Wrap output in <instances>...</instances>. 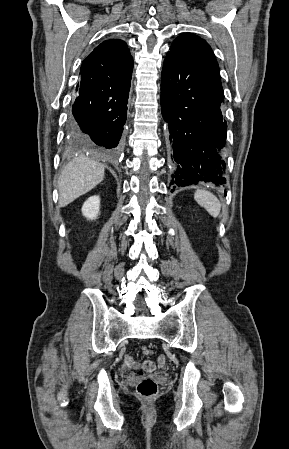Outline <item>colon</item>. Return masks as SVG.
<instances>
[{
	"label": "colon",
	"mask_w": 289,
	"mask_h": 449,
	"mask_svg": "<svg viewBox=\"0 0 289 449\" xmlns=\"http://www.w3.org/2000/svg\"><path fill=\"white\" fill-rule=\"evenodd\" d=\"M142 351L145 355H151L152 349L149 347H143ZM158 390L157 383L151 378H142L137 385V392L144 398H151L156 395Z\"/></svg>",
	"instance_id": "colon-1"
}]
</instances>
